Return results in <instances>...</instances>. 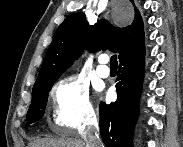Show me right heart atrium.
<instances>
[{"instance_id":"right-heart-atrium-1","label":"right heart atrium","mask_w":183,"mask_h":147,"mask_svg":"<svg viewBox=\"0 0 183 147\" xmlns=\"http://www.w3.org/2000/svg\"><path fill=\"white\" fill-rule=\"evenodd\" d=\"M50 97L56 126L81 131L94 123L96 113L88 85L78 76L70 75L59 80L52 88Z\"/></svg>"}]
</instances>
